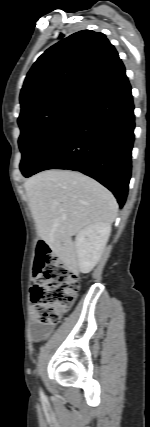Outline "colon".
Here are the masks:
<instances>
[{
	"label": "colon",
	"mask_w": 150,
	"mask_h": 427,
	"mask_svg": "<svg viewBox=\"0 0 150 427\" xmlns=\"http://www.w3.org/2000/svg\"><path fill=\"white\" fill-rule=\"evenodd\" d=\"M36 283L31 289V316L36 324L57 325L71 307L78 289L79 277L39 242L35 262Z\"/></svg>",
	"instance_id": "5ec220e1"
}]
</instances>
